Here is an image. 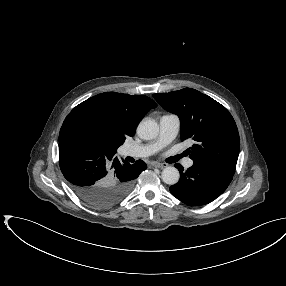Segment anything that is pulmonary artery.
I'll list each match as a JSON object with an SVG mask.
<instances>
[{
	"label": "pulmonary artery",
	"instance_id": "e3ab8cb5",
	"mask_svg": "<svg viewBox=\"0 0 286 286\" xmlns=\"http://www.w3.org/2000/svg\"><path fill=\"white\" fill-rule=\"evenodd\" d=\"M159 134L155 140L147 144L128 145L124 154L131 157H147L170 144L177 136L180 129V119L176 114H164L159 121ZM193 162L187 159L186 167H191Z\"/></svg>",
	"mask_w": 286,
	"mask_h": 286
}]
</instances>
